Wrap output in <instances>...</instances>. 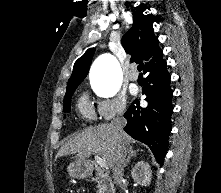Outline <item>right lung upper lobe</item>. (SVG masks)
Returning <instances> with one entry per match:
<instances>
[{"mask_svg":"<svg viewBox=\"0 0 221 193\" xmlns=\"http://www.w3.org/2000/svg\"><path fill=\"white\" fill-rule=\"evenodd\" d=\"M152 20L145 15L134 14L133 27L122 37L121 43L131 61H138L144 73L157 68L166 61L162 58L163 51L158 46V38L153 33ZM94 48H89L74 64L68 87L79 85L89 71Z\"/></svg>","mask_w":221,"mask_h":193,"instance_id":"right-lung-upper-lobe-1","label":"right lung upper lobe"}]
</instances>
